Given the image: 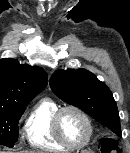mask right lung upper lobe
Wrapping results in <instances>:
<instances>
[{
  "label": "right lung upper lobe",
  "mask_w": 130,
  "mask_h": 153,
  "mask_svg": "<svg viewBox=\"0 0 130 153\" xmlns=\"http://www.w3.org/2000/svg\"><path fill=\"white\" fill-rule=\"evenodd\" d=\"M47 82V74L41 68L21 65L10 58L0 59V105L29 103Z\"/></svg>",
  "instance_id": "cb5924a9"
}]
</instances>
